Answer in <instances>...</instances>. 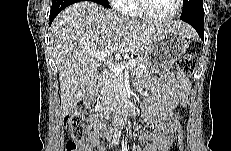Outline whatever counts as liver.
<instances>
[{
	"label": "liver",
	"instance_id": "obj_1",
	"mask_svg": "<svg viewBox=\"0 0 231 151\" xmlns=\"http://www.w3.org/2000/svg\"><path fill=\"white\" fill-rule=\"evenodd\" d=\"M169 31L185 37L195 35L192 27L181 21L140 23L92 1L66 7L50 27L52 55L59 71L62 115L69 114L98 79V64L92 52L117 47L112 53L116 58L128 53L143 54Z\"/></svg>",
	"mask_w": 231,
	"mask_h": 151
}]
</instances>
